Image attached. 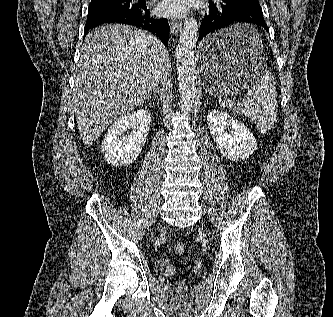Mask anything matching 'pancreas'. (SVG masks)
Listing matches in <instances>:
<instances>
[{"mask_svg":"<svg viewBox=\"0 0 333 317\" xmlns=\"http://www.w3.org/2000/svg\"><path fill=\"white\" fill-rule=\"evenodd\" d=\"M223 106H224L225 108H229V109H233V108H234L233 106H231V102H230V101H226V102L223 104Z\"/></svg>","mask_w":333,"mask_h":317,"instance_id":"cf45deb5","label":"pancreas"}]
</instances>
